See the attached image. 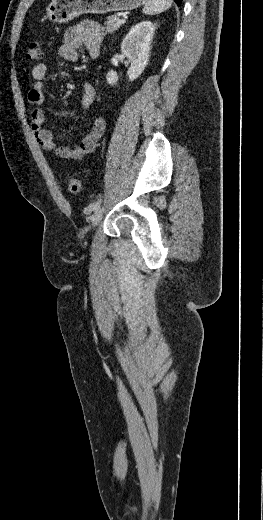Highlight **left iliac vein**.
<instances>
[{"label": "left iliac vein", "instance_id": "4c4485c4", "mask_svg": "<svg viewBox=\"0 0 263 520\" xmlns=\"http://www.w3.org/2000/svg\"><path fill=\"white\" fill-rule=\"evenodd\" d=\"M103 211H104V209L102 207H99L93 214V217H92V226L93 227H96L99 224V222L101 221L102 216H103Z\"/></svg>", "mask_w": 263, "mask_h": 520}]
</instances>
